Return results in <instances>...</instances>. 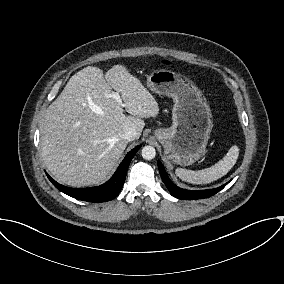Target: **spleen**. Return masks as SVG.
<instances>
[{
  "instance_id": "3e777b00",
  "label": "spleen",
  "mask_w": 284,
  "mask_h": 284,
  "mask_svg": "<svg viewBox=\"0 0 284 284\" xmlns=\"http://www.w3.org/2000/svg\"><path fill=\"white\" fill-rule=\"evenodd\" d=\"M239 156L238 146H232L227 154L219 160L215 165L198 171L177 168L176 175L183 181L192 184L211 183L222 176L226 175L235 165Z\"/></svg>"
}]
</instances>
